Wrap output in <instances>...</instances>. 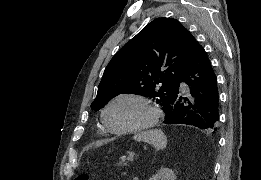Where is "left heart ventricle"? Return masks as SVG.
I'll list each match as a JSON object with an SVG mask.
<instances>
[{"label": "left heart ventricle", "mask_w": 261, "mask_h": 180, "mask_svg": "<svg viewBox=\"0 0 261 180\" xmlns=\"http://www.w3.org/2000/svg\"><path fill=\"white\" fill-rule=\"evenodd\" d=\"M147 115V107L133 99L115 103L108 112V121L115 130L123 131L139 127Z\"/></svg>", "instance_id": "obj_1"}]
</instances>
